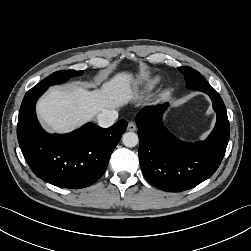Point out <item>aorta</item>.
Segmentation results:
<instances>
[{"instance_id":"aorta-1","label":"aorta","mask_w":251,"mask_h":251,"mask_svg":"<svg viewBox=\"0 0 251 251\" xmlns=\"http://www.w3.org/2000/svg\"><path fill=\"white\" fill-rule=\"evenodd\" d=\"M122 142L126 147H135L138 142V135L134 132H126L122 136Z\"/></svg>"}]
</instances>
